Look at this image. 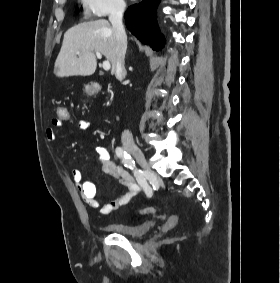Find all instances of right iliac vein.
Segmentation results:
<instances>
[{"mask_svg":"<svg viewBox=\"0 0 280 283\" xmlns=\"http://www.w3.org/2000/svg\"><path fill=\"white\" fill-rule=\"evenodd\" d=\"M126 149L128 150L129 153H131L133 155V157L136 159V161L138 162V164L147 172H151L147 160L143 154V152L141 151V149L133 144H128L126 146Z\"/></svg>","mask_w":280,"mask_h":283,"instance_id":"obj_1","label":"right iliac vein"}]
</instances>
